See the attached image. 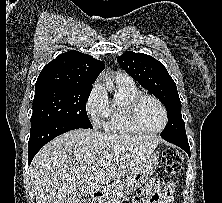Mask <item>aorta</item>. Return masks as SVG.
Masks as SVG:
<instances>
[{"label": "aorta", "mask_w": 222, "mask_h": 203, "mask_svg": "<svg viewBox=\"0 0 222 203\" xmlns=\"http://www.w3.org/2000/svg\"><path fill=\"white\" fill-rule=\"evenodd\" d=\"M107 88L108 89L112 88V84L111 83H107Z\"/></svg>", "instance_id": "1"}]
</instances>
